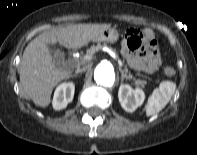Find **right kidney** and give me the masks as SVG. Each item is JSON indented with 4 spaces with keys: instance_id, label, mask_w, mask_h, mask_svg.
I'll return each instance as SVG.
<instances>
[{
    "instance_id": "ca27d5eb",
    "label": "right kidney",
    "mask_w": 197,
    "mask_h": 155,
    "mask_svg": "<svg viewBox=\"0 0 197 155\" xmlns=\"http://www.w3.org/2000/svg\"><path fill=\"white\" fill-rule=\"evenodd\" d=\"M75 85L73 82L61 83L54 92L52 101L55 110L64 109L73 100Z\"/></svg>"
}]
</instances>
